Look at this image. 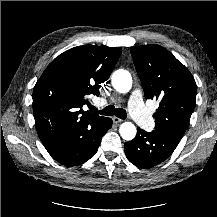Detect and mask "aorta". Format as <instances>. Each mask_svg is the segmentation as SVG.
<instances>
[{"label":"aorta","instance_id":"762f6f07","mask_svg":"<svg viewBox=\"0 0 217 217\" xmlns=\"http://www.w3.org/2000/svg\"><path fill=\"white\" fill-rule=\"evenodd\" d=\"M112 86L120 93H127L132 87V77L127 70H117L112 75ZM121 137L124 140H132L136 136V127L131 122H124L119 128Z\"/></svg>","mask_w":217,"mask_h":217}]
</instances>
